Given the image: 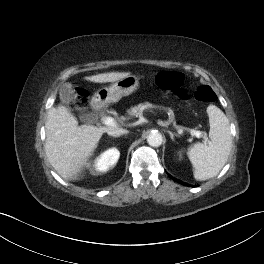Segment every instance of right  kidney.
<instances>
[{"mask_svg":"<svg viewBox=\"0 0 264 264\" xmlns=\"http://www.w3.org/2000/svg\"><path fill=\"white\" fill-rule=\"evenodd\" d=\"M120 152L116 148H111L102 153L95 161V170L106 172L111 166L115 165L119 159Z\"/></svg>","mask_w":264,"mask_h":264,"instance_id":"obj_1","label":"right kidney"}]
</instances>
